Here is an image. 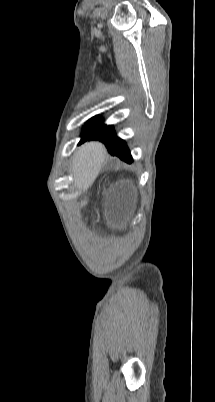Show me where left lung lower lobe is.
Here are the masks:
<instances>
[{
	"instance_id": "left-lung-lower-lobe-1",
	"label": "left lung lower lobe",
	"mask_w": 215,
	"mask_h": 402,
	"mask_svg": "<svg viewBox=\"0 0 215 402\" xmlns=\"http://www.w3.org/2000/svg\"><path fill=\"white\" fill-rule=\"evenodd\" d=\"M87 140H99L105 144L108 152L111 155L118 156L121 160L127 163H131L133 161L125 141L116 136L112 126L103 125L96 132L87 136H82L80 143H83Z\"/></svg>"
}]
</instances>
